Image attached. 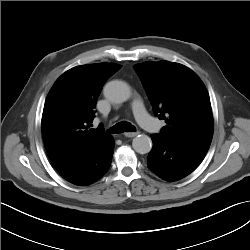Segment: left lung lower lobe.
Wrapping results in <instances>:
<instances>
[{"instance_id": "0a47b994", "label": "left lung lower lobe", "mask_w": 250, "mask_h": 250, "mask_svg": "<svg viewBox=\"0 0 250 250\" xmlns=\"http://www.w3.org/2000/svg\"><path fill=\"white\" fill-rule=\"evenodd\" d=\"M153 148L147 157V166L167 181L180 180L193 172L205 157L206 144L171 141L161 134L151 135Z\"/></svg>"}]
</instances>
